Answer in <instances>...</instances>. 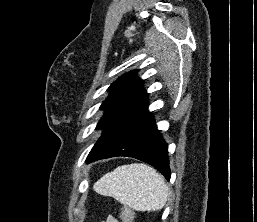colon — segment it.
Wrapping results in <instances>:
<instances>
[{"label": "colon", "instance_id": "5ec220e1", "mask_svg": "<svg viewBox=\"0 0 257 222\" xmlns=\"http://www.w3.org/2000/svg\"><path fill=\"white\" fill-rule=\"evenodd\" d=\"M120 216H121L122 222H132L133 220V212L127 207L122 208Z\"/></svg>", "mask_w": 257, "mask_h": 222}]
</instances>
